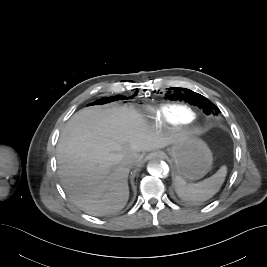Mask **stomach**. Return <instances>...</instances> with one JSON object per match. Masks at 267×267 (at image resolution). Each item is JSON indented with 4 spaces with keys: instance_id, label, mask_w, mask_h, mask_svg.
<instances>
[{
    "instance_id": "1",
    "label": "stomach",
    "mask_w": 267,
    "mask_h": 267,
    "mask_svg": "<svg viewBox=\"0 0 267 267\" xmlns=\"http://www.w3.org/2000/svg\"><path fill=\"white\" fill-rule=\"evenodd\" d=\"M167 151L174 162L176 172L185 180L201 179L211 169L212 153L200 139L183 135Z\"/></svg>"
}]
</instances>
